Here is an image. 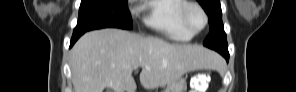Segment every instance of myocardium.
I'll use <instances>...</instances> for the list:
<instances>
[{
	"label": "myocardium",
	"mask_w": 296,
	"mask_h": 92,
	"mask_svg": "<svg viewBox=\"0 0 296 92\" xmlns=\"http://www.w3.org/2000/svg\"><path fill=\"white\" fill-rule=\"evenodd\" d=\"M192 9H197L198 11H200V13L203 16V25L199 29H193L189 23L188 14H189L190 10H192ZM181 23L189 33H191L192 35H196V34L202 32L206 28V26L208 24V16H207V13L205 12V10L199 4H197L195 2H188L182 10Z\"/></svg>",
	"instance_id": "1"
}]
</instances>
